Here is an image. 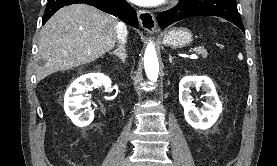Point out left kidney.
Instances as JSON below:
<instances>
[{
    "instance_id": "obj_1",
    "label": "left kidney",
    "mask_w": 277,
    "mask_h": 166,
    "mask_svg": "<svg viewBox=\"0 0 277 166\" xmlns=\"http://www.w3.org/2000/svg\"><path fill=\"white\" fill-rule=\"evenodd\" d=\"M201 88L207 97L204 107L197 109L191 100L190 88ZM179 101L184 108L187 123L194 129L206 130L218 119L222 112V104L215 86L206 76H186L179 83Z\"/></svg>"
}]
</instances>
